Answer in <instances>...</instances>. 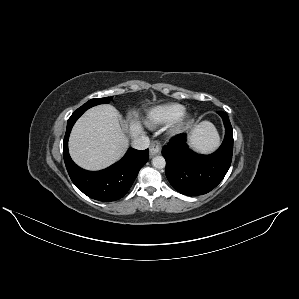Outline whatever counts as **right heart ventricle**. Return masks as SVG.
Here are the masks:
<instances>
[{"label":"right heart ventricle","mask_w":299,"mask_h":299,"mask_svg":"<svg viewBox=\"0 0 299 299\" xmlns=\"http://www.w3.org/2000/svg\"><path fill=\"white\" fill-rule=\"evenodd\" d=\"M185 108L179 103H166L157 105L148 110L147 122L152 125H161L173 122L184 112Z\"/></svg>","instance_id":"right-heart-ventricle-1"}]
</instances>
